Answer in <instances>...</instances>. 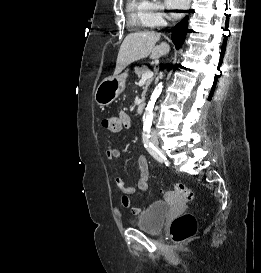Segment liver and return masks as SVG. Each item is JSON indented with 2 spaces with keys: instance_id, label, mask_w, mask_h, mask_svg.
Instances as JSON below:
<instances>
[{
  "instance_id": "1",
  "label": "liver",
  "mask_w": 261,
  "mask_h": 273,
  "mask_svg": "<svg viewBox=\"0 0 261 273\" xmlns=\"http://www.w3.org/2000/svg\"><path fill=\"white\" fill-rule=\"evenodd\" d=\"M159 39L160 33L156 32H136L127 35L119 49L114 76H118L125 67L135 61L148 56L154 60L166 55L170 47L166 42L155 47Z\"/></svg>"
}]
</instances>
